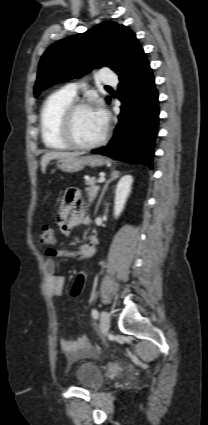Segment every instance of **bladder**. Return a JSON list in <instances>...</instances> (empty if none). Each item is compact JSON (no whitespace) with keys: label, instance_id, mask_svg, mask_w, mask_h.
I'll use <instances>...</instances> for the list:
<instances>
[{"label":"bladder","instance_id":"bladder-1","mask_svg":"<svg viewBox=\"0 0 208 425\" xmlns=\"http://www.w3.org/2000/svg\"><path fill=\"white\" fill-rule=\"evenodd\" d=\"M74 378L80 387L89 390H95L103 383L101 368L90 360L82 361L76 367Z\"/></svg>","mask_w":208,"mask_h":425}]
</instances>
